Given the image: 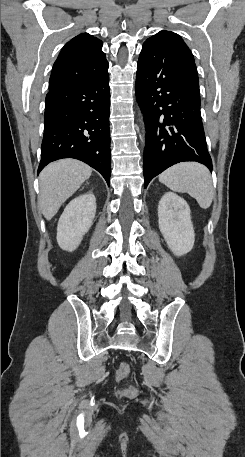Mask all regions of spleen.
<instances>
[{"label": "spleen", "instance_id": "3e777b00", "mask_svg": "<svg viewBox=\"0 0 245 457\" xmlns=\"http://www.w3.org/2000/svg\"><path fill=\"white\" fill-rule=\"evenodd\" d=\"M160 182L175 192H188L201 208H208L214 198L209 168L200 162H179L159 174Z\"/></svg>", "mask_w": 245, "mask_h": 457}]
</instances>
